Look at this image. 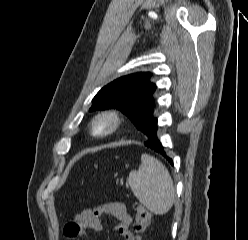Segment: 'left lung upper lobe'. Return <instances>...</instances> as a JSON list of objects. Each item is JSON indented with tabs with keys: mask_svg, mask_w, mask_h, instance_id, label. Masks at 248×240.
I'll use <instances>...</instances> for the list:
<instances>
[{
	"mask_svg": "<svg viewBox=\"0 0 248 240\" xmlns=\"http://www.w3.org/2000/svg\"><path fill=\"white\" fill-rule=\"evenodd\" d=\"M151 76L149 72H138L114 80L96 94L90 111L118 109L146 135L156 106L153 97L156 85L150 82Z\"/></svg>",
	"mask_w": 248,
	"mask_h": 240,
	"instance_id": "5c2ea615",
	"label": "left lung upper lobe"
}]
</instances>
